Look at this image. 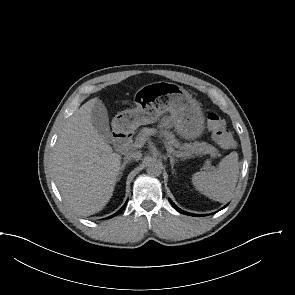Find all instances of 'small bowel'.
Instances as JSON below:
<instances>
[{
	"instance_id": "small-bowel-1",
	"label": "small bowel",
	"mask_w": 295,
	"mask_h": 295,
	"mask_svg": "<svg viewBox=\"0 0 295 295\" xmlns=\"http://www.w3.org/2000/svg\"><path fill=\"white\" fill-rule=\"evenodd\" d=\"M168 124H169V123H168L167 120H164V121H163V125H164V126H168Z\"/></svg>"
}]
</instances>
